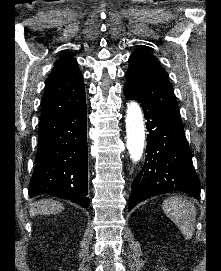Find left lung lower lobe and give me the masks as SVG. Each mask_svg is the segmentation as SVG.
Listing matches in <instances>:
<instances>
[{"instance_id": "left-lung-lower-lobe-1", "label": "left lung lower lobe", "mask_w": 221, "mask_h": 271, "mask_svg": "<svg viewBox=\"0 0 221 271\" xmlns=\"http://www.w3.org/2000/svg\"><path fill=\"white\" fill-rule=\"evenodd\" d=\"M124 94L141 104L149 132L145 164L133 181L129 211L146 198L172 191H181L198 199L200 182L182 121L166 114L127 85Z\"/></svg>"}]
</instances>
